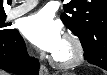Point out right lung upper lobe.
I'll list each match as a JSON object with an SVG mask.
<instances>
[{
  "label": "right lung upper lobe",
  "mask_w": 107,
  "mask_h": 75,
  "mask_svg": "<svg viewBox=\"0 0 107 75\" xmlns=\"http://www.w3.org/2000/svg\"><path fill=\"white\" fill-rule=\"evenodd\" d=\"M5 14L4 8H3V0H0V15Z\"/></svg>",
  "instance_id": "obj_1"
}]
</instances>
